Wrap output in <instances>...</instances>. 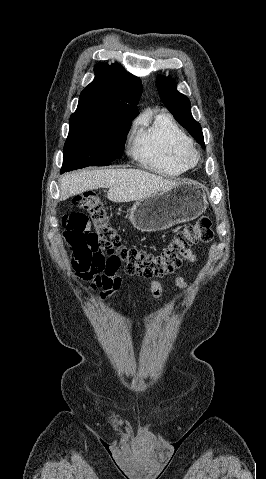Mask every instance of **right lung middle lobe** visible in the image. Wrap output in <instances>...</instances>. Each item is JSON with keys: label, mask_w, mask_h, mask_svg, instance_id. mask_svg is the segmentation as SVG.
<instances>
[{"label": "right lung middle lobe", "mask_w": 266, "mask_h": 479, "mask_svg": "<svg viewBox=\"0 0 266 479\" xmlns=\"http://www.w3.org/2000/svg\"><path fill=\"white\" fill-rule=\"evenodd\" d=\"M61 173L87 167L107 166L122 157L131 120L119 118H70Z\"/></svg>", "instance_id": "obj_1"}]
</instances>
